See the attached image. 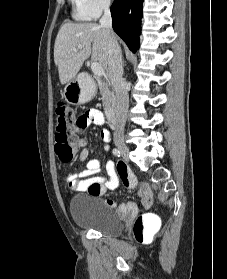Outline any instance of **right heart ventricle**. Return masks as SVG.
Wrapping results in <instances>:
<instances>
[{"mask_svg":"<svg viewBox=\"0 0 227 279\" xmlns=\"http://www.w3.org/2000/svg\"><path fill=\"white\" fill-rule=\"evenodd\" d=\"M75 4V10L73 16L77 20H87L90 18L89 14L83 8L81 0H71Z\"/></svg>","mask_w":227,"mask_h":279,"instance_id":"obj_1","label":"right heart ventricle"}]
</instances>
